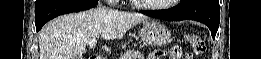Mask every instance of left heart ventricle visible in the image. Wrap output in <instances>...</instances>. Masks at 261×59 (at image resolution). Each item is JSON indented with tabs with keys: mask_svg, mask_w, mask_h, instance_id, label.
Masks as SVG:
<instances>
[{
	"mask_svg": "<svg viewBox=\"0 0 261 59\" xmlns=\"http://www.w3.org/2000/svg\"><path fill=\"white\" fill-rule=\"evenodd\" d=\"M145 3H149V4H165L167 2H169V0H149V1H143Z\"/></svg>",
	"mask_w": 261,
	"mask_h": 59,
	"instance_id": "b2bd125f",
	"label": "left heart ventricle"
}]
</instances>
